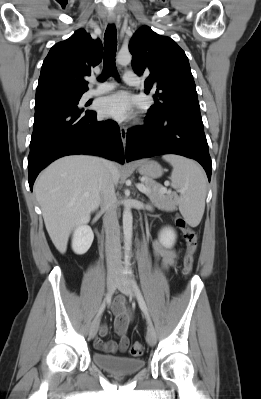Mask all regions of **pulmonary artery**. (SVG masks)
<instances>
[{"mask_svg": "<svg viewBox=\"0 0 261 399\" xmlns=\"http://www.w3.org/2000/svg\"><path fill=\"white\" fill-rule=\"evenodd\" d=\"M123 80L126 84L129 85H135L139 83L138 78L133 71H126L124 73ZM114 88H115V83L112 82L99 83L94 81V86L90 87V89L85 93L84 97L86 99H89L94 96L110 92Z\"/></svg>", "mask_w": 261, "mask_h": 399, "instance_id": "obj_1", "label": "pulmonary artery"}]
</instances>
